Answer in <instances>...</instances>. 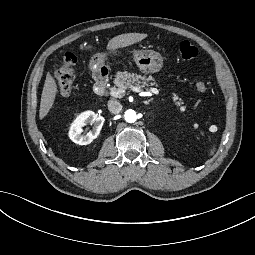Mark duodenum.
<instances>
[{
    "label": "duodenum",
    "mask_w": 255,
    "mask_h": 255,
    "mask_svg": "<svg viewBox=\"0 0 255 255\" xmlns=\"http://www.w3.org/2000/svg\"><path fill=\"white\" fill-rule=\"evenodd\" d=\"M107 84V73L98 70L95 74V89L98 93H103Z\"/></svg>",
    "instance_id": "1"
}]
</instances>
